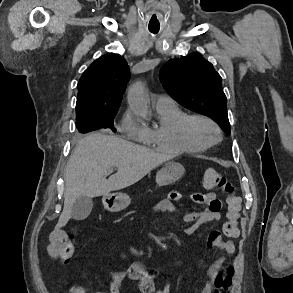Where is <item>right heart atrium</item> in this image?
<instances>
[{"label":"right heart atrium","mask_w":293,"mask_h":293,"mask_svg":"<svg viewBox=\"0 0 293 293\" xmlns=\"http://www.w3.org/2000/svg\"><path fill=\"white\" fill-rule=\"evenodd\" d=\"M120 128L122 131L129 134L133 138H144L143 126L139 123L136 115L130 109L124 112L120 120Z\"/></svg>","instance_id":"1"}]
</instances>
